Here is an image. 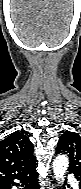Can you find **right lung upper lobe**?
I'll return each instance as SVG.
<instances>
[{"mask_svg": "<svg viewBox=\"0 0 81 189\" xmlns=\"http://www.w3.org/2000/svg\"><path fill=\"white\" fill-rule=\"evenodd\" d=\"M36 165L33 146L20 132L0 141V184L11 181Z\"/></svg>", "mask_w": 81, "mask_h": 189, "instance_id": "right-lung-upper-lobe-1", "label": "right lung upper lobe"}]
</instances>
